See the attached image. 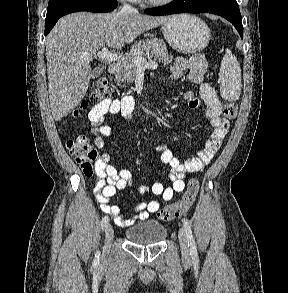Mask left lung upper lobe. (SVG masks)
<instances>
[{
  "label": "left lung upper lobe",
  "instance_id": "obj_1",
  "mask_svg": "<svg viewBox=\"0 0 288 293\" xmlns=\"http://www.w3.org/2000/svg\"><path fill=\"white\" fill-rule=\"evenodd\" d=\"M227 1L236 2V0H227Z\"/></svg>",
  "mask_w": 288,
  "mask_h": 293
}]
</instances>
